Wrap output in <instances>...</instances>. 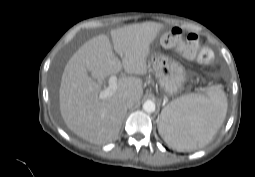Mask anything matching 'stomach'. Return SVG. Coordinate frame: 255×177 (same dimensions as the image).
<instances>
[{"label": "stomach", "instance_id": "0dacf381", "mask_svg": "<svg viewBox=\"0 0 255 177\" xmlns=\"http://www.w3.org/2000/svg\"><path fill=\"white\" fill-rule=\"evenodd\" d=\"M167 37L168 34L163 35L162 40ZM150 64L160 86L168 95H176L182 90L185 82V69L178 61L164 54L154 53L151 55Z\"/></svg>", "mask_w": 255, "mask_h": 177}]
</instances>
